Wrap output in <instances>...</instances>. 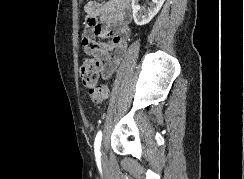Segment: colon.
Masks as SVG:
<instances>
[{
  "label": "colon",
  "instance_id": "5ec220e1",
  "mask_svg": "<svg viewBox=\"0 0 244 179\" xmlns=\"http://www.w3.org/2000/svg\"><path fill=\"white\" fill-rule=\"evenodd\" d=\"M100 31V30H98ZM81 82L88 90L89 100L94 105H101L109 98V88L98 84L100 64L96 59H86L81 62Z\"/></svg>",
  "mask_w": 244,
  "mask_h": 179
}]
</instances>
